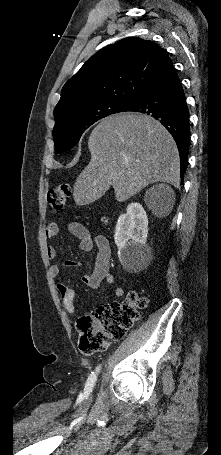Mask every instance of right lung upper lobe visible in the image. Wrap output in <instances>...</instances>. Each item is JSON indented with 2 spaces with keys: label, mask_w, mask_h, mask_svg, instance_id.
<instances>
[{
  "label": "right lung upper lobe",
  "mask_w": 221,
  "mask_h": 455,
  "mask_svg": "<svg viewBox=\"0 0 221 455\" xmlns=\"http://www.w3.org/2000/svg\"><path fill=\"white\" fill-rule=\"evenodd\" d=\"M168 58L156 43L140 38L106 46L63 86L55 120L103 101L132 103Z\"/></svg>",
  "instance_id": "cb5924a9"
}]
</instances>
